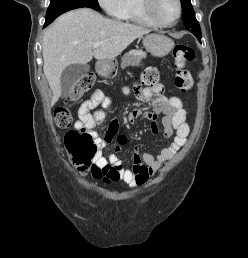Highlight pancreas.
Returning <instances> with one entry per match:
<instances>
[{
  "label": "pancreas",
  "mask_w": 248,
  "mask_h": 258,
  "mask_svg": "<svg viewBox=\"0 0 248 258\" xmlns=\"http://www.w3.org/2000/svg\"><path fill=\"white\" fill-rule=\"evenodd\" d=\"M146 57V53L142 50H132L124 54L121 59V68L124 69L128 66H139L141 61Z\"/></svg>",
  "instance_id": "1"
}]
</instances>
